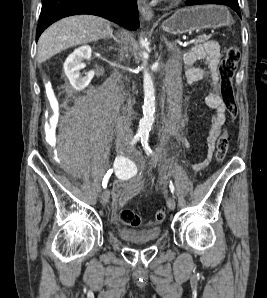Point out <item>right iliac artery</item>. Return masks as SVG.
Here are the masks:
<instances>
[{"mask_svg": "<svg viewBox=\"0 0 267 298\" xmlns=\"http://www.w3.org/2000/svg\"><path fill=\"white\" fill-rule=\"evenodd\" d=\"M140 138H141V136L136 135L132 139V141L130 142V144L131 145L136 144L140 140ZM126 161H127V159L123 155H120V156L116 157L114 165H115V167H122L126 163ZM112 173H113V169H110L107 172V174L104 176L103 183H102L103 188H106L107 187L109 178H110V176H111Z\"/></svg>", "mask_w": 267, "mask_h": 298, "instance_id": "82829eb1", "label": "right iliac artery"}]
</instances>
